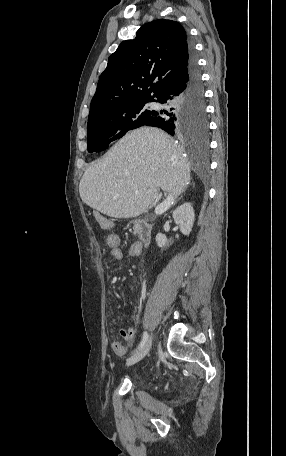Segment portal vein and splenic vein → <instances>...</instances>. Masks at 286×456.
<instances>
[{
	"label": "portal vein and splenic vein",
	"instance_id": "obj_1",
	"mask_svg": "<svg viewBox=\"0 0 286 456\" xmlns=\"http://www.w3.org/2000/svg\"><path fill=\"white\" fill-rule=\"evenodd\" d=\"M173 200V197H167L163 203L159 204L155 208V214H161L165 212L173 204Z\"/></svg>",
	"mask_w": 286,
	"mask_h": 456
}]
</instances>
